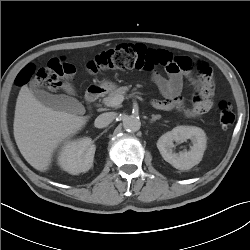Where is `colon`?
<instances>
[{
    "mask_svg": "<svg viewBox=\"0 0 250 250\" xmlns=\"http://www.w3.org/2000/svg\"><path fill=\"white\" fill-rule=\"evenodd\" d=\"M189 60L182 56H175L165 50L147 48L140 44H120L109 48L87 62L85 71L97 74L101 71L114 69H135L151 71L155 68L167 73H178L189 68ZM198 75L207 73L206 78H200L196 90L192 94V103L203 101L212 89L211 68L206 63L198 64ZM75 73V67L63 58H53L47 67L37 69L34 65H26L16 76L17 86L26 85L31 79L47 89L57 90L62 86L64 78ZM219 123L223 129H228L235 120L232 106L227 101H220L218 106Z\"/></svg>",
    "mask_w": 250,
    "mask_h": 250,
    "instance_id": "5ec220e1",
    "label": "colon"
}]
</instances>
